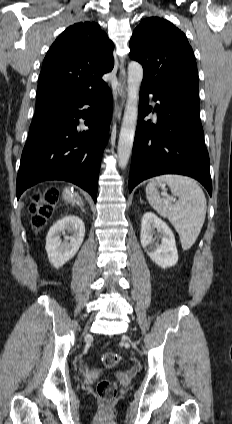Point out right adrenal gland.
I'll return each instance as SVG.
<instances>
[{"label": "right adrenal gland", "instance_id": "right-adrenal-gland-1", "mask_svg": "<svg viewBox=\"0 0 232 424\" xmlns=\"http://www.w3.org/2000/svg\"><path fill=\"white\" fill-rule=\"evenodd\" d=\"M76 202H77L78 207L81 209V211H82V212H85V209H84V201L81 199V197H80V196H78V197H77Z\"/></svg>", "mask_w": 232, "mask_h": 424}]
</instances>
